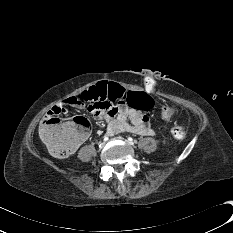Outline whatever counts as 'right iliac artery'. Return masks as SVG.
<instances>
[{"mask_svg": "<svg viewBox=\"0 0 233 233\" xmlns=\"http://www.w3.org/2000/svg\"><path fill=\"white\" fill-rule=\"evenodd\" d=\"M109 138L107 136L104 137V141H108Z\"/></svg>", "mask_w": 233, "mask_h": 233, "instance_id": "1", "label": "right iliac artery"}]
</instances>
